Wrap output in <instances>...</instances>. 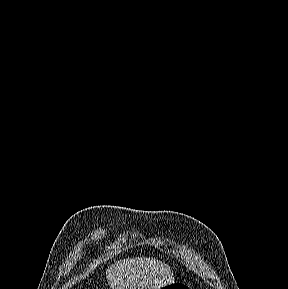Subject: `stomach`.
Instances as JSON below:
<instances>
[{"mask_svg": "<svg viewBox=\"0 0 288 289\" xmlns=\"http://www.w3.org/2000/svg\"><path fill=\"white\" fill-rule=\"evenodd\" d=\"M161 289H190L188 285L181 282H173L161 287Z\"/></svg>", "mask_w": 288, "mask_h": 289, "instance_id": "0dacf381", "label": "stomach"}]
</instances>
